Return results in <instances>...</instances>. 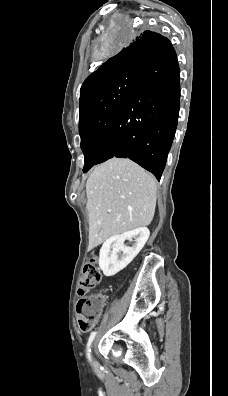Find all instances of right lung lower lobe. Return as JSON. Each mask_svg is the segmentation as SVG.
<instances>
[{"label": "right lung lower lobe", "mask_w": 228, "mask_h": 396, "mask_svg": "<svg viewBox=\"0 0 228 396\" xmlns=\"http://www.w3.org/2000/svg\"><path fill=\"white\" fill-rule=\"evenodd\" d=\"M179 74L170 41L143 61L96 164L112 157L129 158L160 180L177 127Z\"/></svg>", "instance_id": "98d812e1"}]
</instances>
